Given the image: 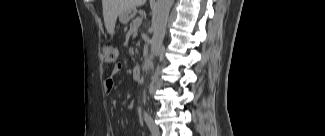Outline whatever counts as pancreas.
Returning <instances> with one entry per match:
<instances>
[{
  "label": "pancreas",
  "instance_id": "cf45deb5",
  "mask_svg": "<svg viewBox=\"0 0 325 136\" xmlns=\"http://www.w3.org/2000/svg\"><path fill=\"white\" fill-rule=\"evenodd\" d=\"M129 22H130V23H128V26H131V27H132V26L134 25V24H133V23H134V19H133V18H132V19H130V21H129ZM135 35H136V34H135Z\"/></svg>",
  "mask_w": 325,
  "mask_h": 136
}]
</instances>
